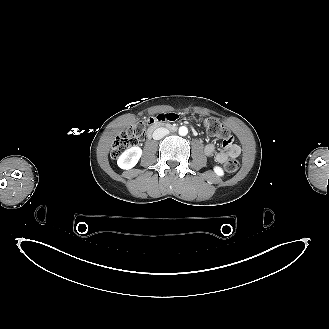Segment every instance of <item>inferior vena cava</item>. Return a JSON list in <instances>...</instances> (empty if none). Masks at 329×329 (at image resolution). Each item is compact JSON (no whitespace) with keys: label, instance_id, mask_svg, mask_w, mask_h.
Here are the masks:
<instances>
[{"label":"inferior vena cava","instance_id":"inferior-vena-cava-1","mask_svg":"<svg viewBox=\"0 0 329 329\" xmlns=\"http://www.w3.org/2000/svg\"><path fill=\"white\" fill-rule=\"evenodd\" d=\"M169 134V130L163 127L157 128L154 132H153V139L154 140H160L163 137L167 136Z\"/></svg>","mask_w":329,"mask_h":329}]
</instances>
